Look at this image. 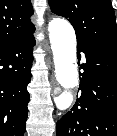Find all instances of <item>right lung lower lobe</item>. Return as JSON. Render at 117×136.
Here are the masks:
<instances>
[{"mask_svg": "<svg viewBox=\"0 0 117 136\" xmlns=\"http://www.w3.org/2000/svg\"><path fill=\"white\" fill-rule=\"evenodd\" d=\"M33 32L0 46V136H23L25 132Z\"/></svg>", "mask_w": 117, "mask_h": 136, "instance_id": "1", "label": "right lung lower lobe"}]
</instances>
